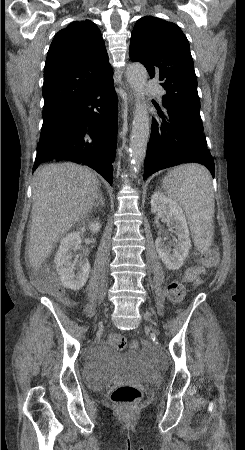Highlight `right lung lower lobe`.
<instances>
[{
    "instance_id": "obj_1",
    "label": "right lung lower lobe",
    "mask_w": 245,
    "mask_h": 450,
    "mask_svg": "<svg viewBox=\"0 0 245 450\" xmlns=\"http://www.w3.org/2000/svg\"><path fill=\"white\" fill-rule=\"evenodd\" d=\"M117 102L111 75L45 114L33 171L44 161H72L91 167L112 185Z\"/></svg>"
}]
</instances>
